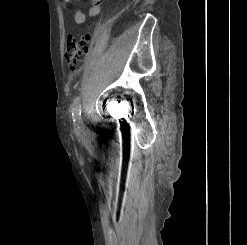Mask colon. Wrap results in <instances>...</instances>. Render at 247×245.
<instances>
[{
  "label": "colon",
  "mask_w": 247,
  "mask_h": 245,
  "mask_svg": "<svg viewBox=\"0 0 247 245\" xmlns=\"http://www.w3.org/2000/svg\"><path fill=\"white\" fill-rule=\"evenodd\" d=\"M92 44V35L84 33L79 37L68 36L66 41L65 59L71 70L80 67Z\"/></svg>",
  "instance_id": "5ec220e1"
}]
</instances>
